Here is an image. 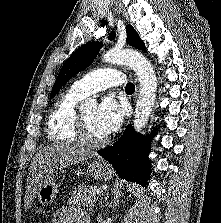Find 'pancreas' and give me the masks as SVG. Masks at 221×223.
<instances>
[{"label": "pancreas", "mask_w": 221, "mask_h": 223, "mask_svg": "<svg viewBox=\"0 0 221 223\" xmlns=\"http://www.w3.org/2000/svg\"><path fill=\"white\" fill-rule=\"evenodd\" d=\"M99 192H101V189L97 186H78L77 190L72 193V196L68 200V204L73 207L83 206L90 211L94 207L95 195Z\"/></svg>", "instance_id": "cf45deb5"}]
</instances>
